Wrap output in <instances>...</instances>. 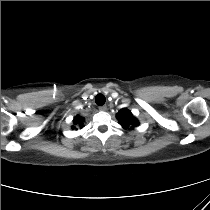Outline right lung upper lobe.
<instances>
[{
  "label": "right lung upper lobe",
  "instance_id": "cb5924a9",
  "mask_svg": "<svg viewBox=\"0 0 210 210\" xmlns=\"http://www.w3.org/2000/svg\"><path fill=\"white\" fill-rule=\"evenodd\" d=\"M83 120L84 119L82 117L77 116L74 118L73 122H74V124H78V123H81ZM73 128H75V127H73Z\"/></svg>",
  "mask_w": 210,
  "mask_h": 210
}]
</instances>
